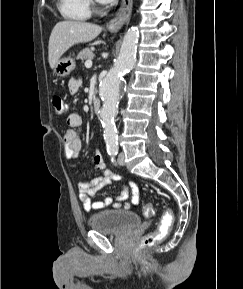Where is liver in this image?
Wrapping results in <instances>:
<instances>
[{"mask_svg": "<svg viewBox=\"0 0 243 289\" xmlns=\"http://www.w3.org/2000/svg\"><path fill=\"white\" fill-rule=\"evenodd\" d=\"M102 31L99 25L65 20L58 22L50 35L48 45V60L54 69L60 57L73 45L86 43L95 39Z\"/></svg>", "mask_w": 243, "mask_h": 289, "instance_id": "obj_1", "label": "liver"}]
</instances>
